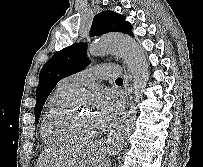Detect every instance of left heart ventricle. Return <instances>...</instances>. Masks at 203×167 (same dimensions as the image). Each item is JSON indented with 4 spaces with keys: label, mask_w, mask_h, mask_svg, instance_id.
<instances>
[{
    "label": "left heart ventricle",
    "mask_w": 203,
    "mask_h": 167,
    "mask_svg": "<svg viewBox=\"0 0 203 167\" xmlns=\"http://www.w3.org/2000/svg\"><path fill=\"white\" fill-rule=\"evenodd\" d=\"M71 126L79 134H91L100 129L96 113L89 108L83 99L77 101L73 112Z\"/></svg>",
    "instance_id": "b2bd125f"
}]
</instances>
